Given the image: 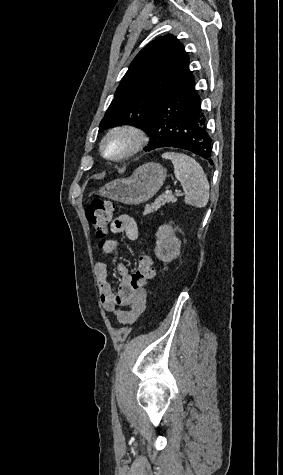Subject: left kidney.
Instances as JSON below:
<instances>
[{
  "mask_svg": "<svg viewBox=\"0 0 283 475\" xmlns=\"http://www.w3.org/2000/svg\"><path fill=\"white\" fill-rule=\"evenodd\" d=\"M171 224V222H170ZM170 224L167 226H159L156 232V247L154 249L158 259L162 261H172L180 255L181 241L176 238L175 232L180 228H172Z\"/></svg>",
  "mask_w": 283,
  "mask_h": 475,
  "instance_id": "obj_1",
  "label": "left kidney"
}]
</instances>
